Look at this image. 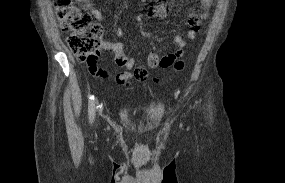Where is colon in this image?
Here are the masks:
<instances>
[{"mask_svg": "<svg viewBox=\"0 0 285 183\" xmlns=\"http://www.w3.org/2000/svg\"><path fill=\"white\" fill-rule=\"evenodd\" d=\"M54 5L61 29L70 34L68 45L73 54L82 61L96 59L102 49L101 26L92 22L91 16L78 8L73 0H55ZM184 67L181 61L173 64L176 72H182ZM135 77L142 80L143 73L137 70ZM155 81L160 82L159 79Z\"/></svg>", "mask_w": 285, "mask_h": 183, "instance_id": "colon-1", "label": "colon"}]
</instances>
